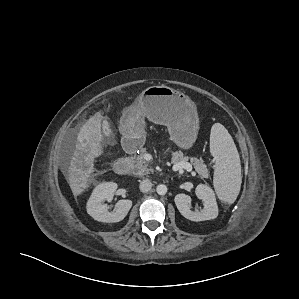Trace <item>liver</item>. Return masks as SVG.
<instances>
[{
	"mask_svg": "<svg viewBox=\"0 0 299 299\" xmlns=\"http://www.w3.org/2000/svg\"><path fill=\"white\" fill-rule=\"evenodd\" d=\"M102 113L92 116L81 127L75 151L68 167V183L76 197L88 188L90 175L94 171V160L103 154L101 120Z\"/></svg>",
	"mask_w": 299,
	"mask_h": 299,
	"instance_id": "liver-1",
	"label": "liver"
}]
</instances>
